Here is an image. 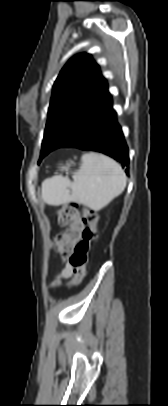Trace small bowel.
<instances>
[{
  "label": "small bowel",
  "mask_w": 168,
  "mask_h": 406,
  "mask_svg": "<svg viewBox=\"0 0 168 406\" xmlns=\"http://www.w3.org/2000/svg\"><path fill=\"white\" fill-rule=\"evenodd\" d=\"M64 258V265L60 271V273L58 274L56 280L53 283V286H56L59 284L61 279H67L70 278L73 275V269L71 267V265L66 261V257Z\"/></svg>",
  "instance_id": "small-bowel-1"
}]
</instances>
